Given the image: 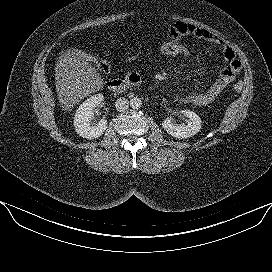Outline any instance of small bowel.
<instances>
[{
	"label": "small bowel",
	"mask_w": 272,
	"mask_h": 272,
	"mask_svg": "<svg viewBox=\"0 0 272 272\" xmlns=\"http://www.w3.org/2000/svg\"><path fill=\"white\" fill-rule=\"evenodd\" d=\"M168 35L169 38L178 40L182 37L190 36L216 44L221 48L225 65L220 70L217 79L205 91L179 98V101L182 103H191L199 107L211 104L241 70V64L234 50L219 36L192 24L176 22L169 28Z\"/></svg>",
	"instance_id": "small-bowel-1"
}]
</instances>
